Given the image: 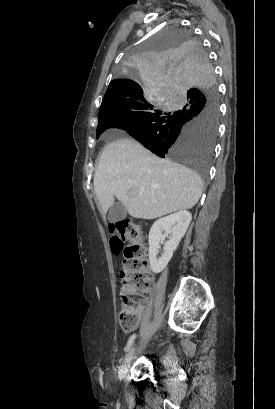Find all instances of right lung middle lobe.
Here are the masks:
<instances>
[{
	"label": "right lung middle lobe",
	"instance_id": "1",
	"mask_svg": "<svg viewBox=\"0 0 275 409\" xmlns=\"http://www.w3.org/2000/svg\"><path fill=\"white\" fill-rule=\"evenodd\" d=\"M136 49L126 50L116 71L125 79H138L148 92L99 112L96 138L108 128H121L157 156L191 167L206 182L218 103L202 40L181 24H166L165 30L137 42Z\"/></svg>",
	"mask_w": 275,
	"mask_h": 409
}]
</instances>
